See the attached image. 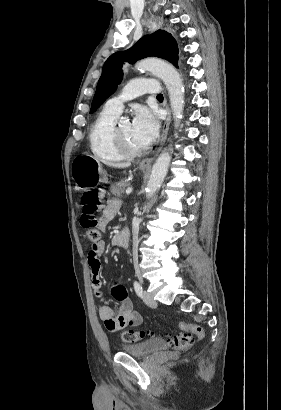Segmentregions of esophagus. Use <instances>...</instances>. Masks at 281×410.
<instances>
[{
    "instance_id": "1",
    "label": "esophagus",
    "mask_w": 281,
    "mask_h": 410,
    "mask_svg": "<svg viewBox=\"0 0 281 410\" xmlns=\"http://www.w3.org/2000/svg\"><path fill=\"white\" fill-rule=\"evenodd\" d=\"M166 110H167V117H166L165 123L163 125V131H162V135H161L160 146L156 151V155L161 151V149H162V147H163V145H164V143L167 139V135H168L169 125H170V121H171V111H170V108H169L168 104H166ZM153 160H154V157L145 158L139 163V166L140 167H150Z\"/></svg>"
}]
</instances>
